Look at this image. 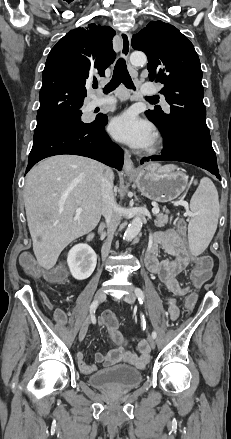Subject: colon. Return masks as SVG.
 <instances>
[{"instance_id": "colon-1", "label": "colon", "mask_w": 231, "mask_h": 439, "mask_svg": "<svg viewBox=\"0 0 231 439\" xmlns=\"http://www.w3.org/2000/svg\"><path fill=\"white\" fill-rule=\"evenodd\" d=\"M178 231L181 234L186 232V222L180 220L177 224ZM21 264L23 268L33 276H44L49 282L60 283L66 278L67 271L62 265L56 266L46 272H44L35 262V260L29 256L25 255L21 258ZM213 266L212 258L208 255H200L195 258L194 268L192 270V283L193 288L196 291L201 290L203 285H207L211 279V270ZM198 300V295L190 291L183 295V305L185 312H193L196 301Z\"/></svg>"}]
</instances>
